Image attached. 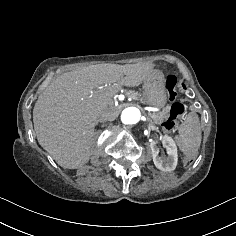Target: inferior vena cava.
Segmentation results:
<instances>
[{
    "mask_svg": "<svg viewBox=\"0 0 236 236\" xmlns=\"http://www.w3.org/2000/svg\"><path fill=\"white\" fill-rule=\"evenodd\" d=\"M93 117H94L96 120H99V119L102 117V114H101L99 111H96V112L93 114Z\"/></svg>",
    "mask_w": 236,
    "mask_h": 236,
    "instance_id": "602c4592",
    "label": "inferior vena cava"
}]
</instances>
